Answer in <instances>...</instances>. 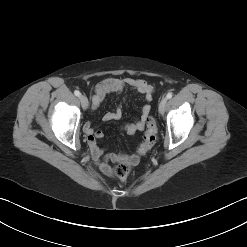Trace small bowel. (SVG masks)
<instances>
[{"label": "small bowel", "instance_id": "small-bowel-1", "mask_svg": "<svg viewBox=\"0 0 247 247\" xmlns=\"http://www.w3.org/2000/svg\"><path fill=\"white\" fill-rule=\"evenodd\" d=\"M126 89H133L142 94L146 101H151L154 94V88L143 79L126 78H106L98 83L91 97L92 110H96L105 97L110 93H122ZM150 113V106L144 105L141 108L140 116L135 122L126 124L123 130L128 134H134L137 131H142L145 127V122ZM122 117V109L118 107L114 111L107 112L104 115L105 121L120 120ZM83 131L87 136L91 155L98 165L99 169L106 175H112L110 162L126 161L130 165H136L139 162L137 154H128L123 152L106 153L97 143V139H101L104 133L101 130H96L90 122H86L83 126Z\"/></svg>", "mask_w": 247, "mask_h": 247}]
</instances>
